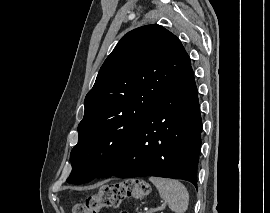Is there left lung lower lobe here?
Instances as JSON below:
<instances>
[{
  "label": "left lung lower lobe",
  "instance_id": "0a47b994",
  "mask_svg": "<svg viewBox=\"0 0 270 213\" xmlns=\"http://www.w3.org/2000/svg\"><path fill=\"white\" fill-rule=\"evenodd\" d=\"M201 128L197 88L190 66L176 77L114 161L95 178L158 176L187 180L197 187Z\"/></svg>",
  "mask_w": 270,
  "mask_h": 213
}]
</instances>
